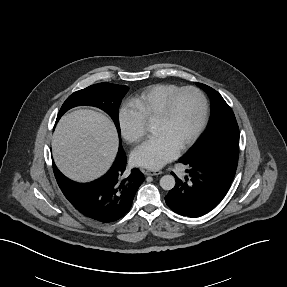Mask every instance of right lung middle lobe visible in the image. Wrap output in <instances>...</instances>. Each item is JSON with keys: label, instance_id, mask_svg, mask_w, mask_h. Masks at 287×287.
Instances as JSON below:
<instances>
[{"label": "right lung middle lobe", "instance_id": "dd1d6c3e", "mask_svg": "<svg viewBox=\"0 0 287 287\" xmlns=\"http://www.w3.org/2000/svg\"><path fill=\"white\" fill-rule=\"evenodd\" d=\"M128 89L129 88L124 85L98 83L79 90L70 95L64 102L57 116V121L72 107L79 105L95 106L105 111L113 119L120 136L118 108ZM121 147L120 140L119 148Z\"/></svg>", "mask_w": 287, "mask_h": 287}]
</instances>
